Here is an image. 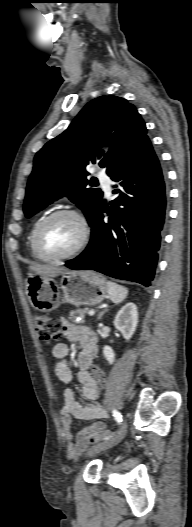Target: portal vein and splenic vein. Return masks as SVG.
I'll return each mask as SVG.
<instances>
[{"label": "portal vein and splenic vein", "mask_w": 192, "mask_h": 527, "mask_svg": "<svg viewBox=\"0 0 192 527\" xmlns=\"http://www.w3.org/2000/svg\"><path fill=\"white\" fill-rule=\"evenodd\" d=\"M94 314H95V311H94V310H90V311L88 312V315H90V316H92V315H94Z\"/></svg>", "instance_id": "18ae733b"}]
</instances>
